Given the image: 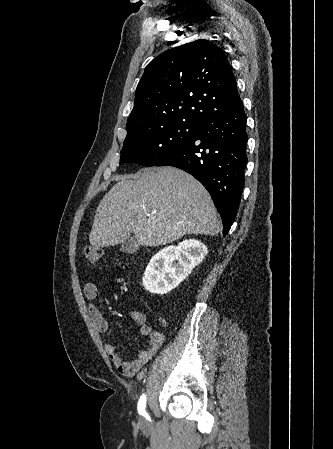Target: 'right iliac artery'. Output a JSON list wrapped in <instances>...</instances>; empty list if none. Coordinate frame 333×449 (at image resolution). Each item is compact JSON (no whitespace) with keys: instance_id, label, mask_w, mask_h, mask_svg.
I'll return each instance as SVG.
<instances>
[{"instance_id":"82829eb1","label":"right iliac artery","mask_w":333,"mask_h":449,"mask_svg":"<svg viewBox=\"0 0 333 449\" xmlns=\"http://www.w3.org/2000/svg\"><path fill=\"white\" fill-rule=\"evenodd\" d=\"M145 406H146V395L142 394L138 402V412L140 415H146Z\"/></svg>"}]
</instances>
